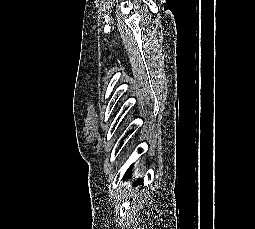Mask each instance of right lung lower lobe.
Wrapping results in <instances>:
<instances>
[{
	"label": "right lung lower lobe",
	"instance_id": "1",
	"mask_svg": "<svg viewBox=\"0 0 255 229\" xmlns=\"http://www.w3.org/2000/svg\"><path fill=\"white\" fill-rule=\"evenodd\" d=\"M130 173V170H128V174ZM127 177V174L125 175ZM142 184V180H138L135 185Z\"/></svg>",
	"mask_w": 255,
	"mask_h": 229
}]
</instances>
